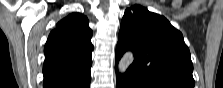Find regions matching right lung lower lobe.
<instances>
[{
	"label": "right lung lower lobe",
	"mask_w": 223,
	"mask_h": 88,
	"mask_svg": "<svg viewBox=\"0 0 223 88\" xmlns=\"http://www.w3.org/2000/svg\"><path fill=\"white\" fill-rule=\"evenodd\" d=\"M82 88H90V81L82 86Z\"/></svg>",
	"instance_id": "obj_1"
}]
</instances>
